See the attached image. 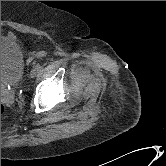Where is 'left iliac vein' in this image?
Segmentation results:
<instances>
[{
	"mask_svg": "<svg viewBox=\"0 0 166 166\" xmlns=\"http://www.w3.org/2000/svg\"><path fill=\"white\" fill-rule=\"evenodd\" d=\"M36 75H37V69H32V70L30 71V77H31V78H34Z\"/></svg>",
	"mask_w": 166,
	"mask_h": 166,
	"instance_id": "4c4485c4",
	"label": "left iliac vein"
}]
</instances>
